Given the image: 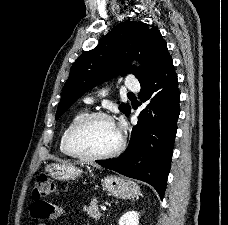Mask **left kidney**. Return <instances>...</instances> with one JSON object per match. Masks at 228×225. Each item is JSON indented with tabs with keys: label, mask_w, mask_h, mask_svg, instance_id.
<instances>
[{
	"label": "left kidney",
	"mask_w": 228,
	"mask_h": 225,
	"mask_svg": "<svg viewBox=\"0 0 228 225\" xmlns=\"http://www.w3.org/2000/svg\"><path fill=\"white\" fill-rule=\"evenodd\" d=\"M119 225H139V213L137 211H128L119 219Z\"/></svg>",
	"instance_id": "left-kidney-1"
}]
</instances>
